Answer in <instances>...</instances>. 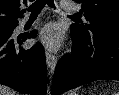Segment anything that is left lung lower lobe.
<instances>
[{"mask_svg":"<svg viewBox=\"0 0 119 95\" xmlns=\"http://www.w3.org/2000/svg\"><path fill=\"white\" fill-rule=\"evenodd\" d=\"M73 46L58 62L52 95L96 80H119V32L79 34L70 27Z\"/></svg>","mask_w":119,"mask_h":95,"instance_id":"left-lung-lower-lobe-1","label":"left lung lower lobe"}]
</instances>
